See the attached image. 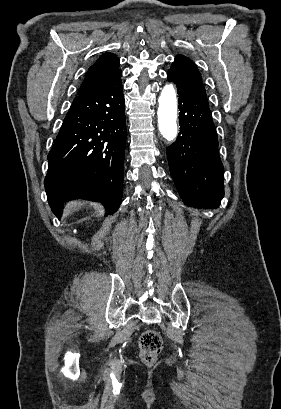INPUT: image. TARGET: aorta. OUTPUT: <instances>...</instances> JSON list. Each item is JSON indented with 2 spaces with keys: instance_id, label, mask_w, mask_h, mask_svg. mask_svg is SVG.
<instances>
[{
  "instance_id": "1",
  "label": "aorta",
  "mask_w": 281,
  "mask_h": 409,
  "mask_svg": "<svg viewBox=\"0 0 281 409\" xmlns=\"http://www.w3.org/2000/svg\"><path fill=\"white\" fill-rule=\"evenodd\" d=\"M158 125L161 135L168 141L177 135V96L172 84H167L161 91L158 108Z\"/></svg>"
}]
</instances>
